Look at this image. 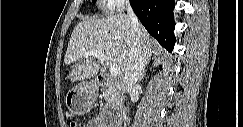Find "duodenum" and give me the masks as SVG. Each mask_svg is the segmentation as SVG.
<instances>
[{
  "instance_id": "duodenum-1",
  "label": "duodenum",
  "mask_w": 243,
  "mask_h": 127,
  "mask_svg": "<svg viewBox=\"0 0 243 127\" xmlns=\"http://www.w3.org/2000/svg\"><path fill=\"white\" fill-rule=\"evenodd\" d=\"M95 83L100 88L111 86V87H113L115 89H118L120 87L119 86V83L116 82V81H114L107 74H99V75H97ZM100 122H101L100 125L102 127H105V125L103 124L104 120L103 119L102 120L100 119Z\"/></svg>"
}]
</instances>
